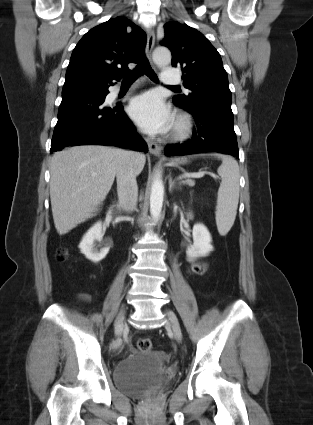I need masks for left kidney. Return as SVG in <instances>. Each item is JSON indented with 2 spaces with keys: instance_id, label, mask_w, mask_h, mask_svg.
<instances>
[{
  "instance_id": "left-kidney-1",
  "label": "left kidney",
  "mask_w": 313,
  "mask_h": 425,
  "mask_svg": "<svg viewBox=\"0 0 313 425\" xmlns=\"http://www.w3.org/2000/svg\"><path fill=\"white\" fill-rule=\"evenodd\" d=\"M190 217L192 215L189 213ZM193 244L189 245L186 254L189 257H203L208 255L212 250V238L208 229L203 224H195L193 226Z\"/></svg>"
}]
</instances>
